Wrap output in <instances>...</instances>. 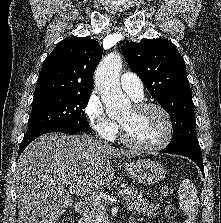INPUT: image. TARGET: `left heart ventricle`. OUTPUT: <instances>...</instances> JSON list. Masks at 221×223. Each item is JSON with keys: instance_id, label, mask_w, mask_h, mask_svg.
<instances>
[{"instance_id": "1", "label": "left heart ventricle", "mask_w": 221, "mask_h": 223, "mask_svg": "<svg viewBox=\"0 0 221 223\" xmlns=\"http://www.w3.org/2000/svg\"><path fill=\"white\" fill-rule=\"evenodd\" d=\"M128 137L139 144L154 145L162 140L166 132L163 116L156 110H127L119 119Z\"/></svg>"}]
</instances>
